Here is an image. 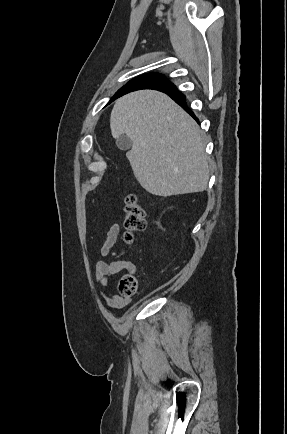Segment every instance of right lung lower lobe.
<instances>
[{
	"instance_id": "right-lung-lower-lobe-1",
	"label": "right lung lower lobe",
	"mask_w": 287,
	"mask_h": 434,
	"mask_svg": "<svg viewBox=\"0 0 287 434\" xmlns=\"http://www.w3.org/2000/svg\"><path fill=\"white\" fill-rule=\"evenodd\" d=\"M158 90L168 94L176 103L182 106L192 117H194L198 121L193 112L190 111V109L187 107L185 102V96L176 89L175 85L170 83L166 85L164 89Z\"/></svg>"
}]
</instances>
